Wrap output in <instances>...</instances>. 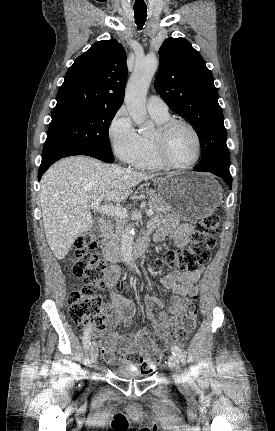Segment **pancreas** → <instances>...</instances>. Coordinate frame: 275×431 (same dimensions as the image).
I'll return each instance as SVG.
<instances>
[{"label":"pancreas","mask_w":275,"mask_h":431,"mask_svg":"<svg viewBox=\"0 0 275 431\" xmlns=\"http://www.w3.org/2000/svg\"><path fill=\"white\" fill-rule=\"evenodd\" d=\"M146 193L149 196V204L156 214L168 213L170 208L160 196H157L153 190H147ZM125 224L124 219H115L111 222L106 228L102 244L106 247H116Z\"/></svg>","instance_id":"1"}]
</instances>
